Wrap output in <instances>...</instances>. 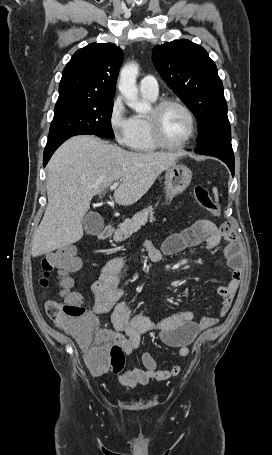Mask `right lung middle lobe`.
Listing matches in <instances>:
<instances>
[{
  "mask_svg": "<svg viewBox=\"0 0 272 455\" xmlns=\"http://www.w3.org/2000/svg\"><path fill=\"white\" fill-rule=\"evenodd\" d=\"M112 109V99L57 102L49 130V141L83 134L113 139Z\"/></svg>",
  "mask_w": 272,
  "mask_h": 455,
  "instance_id": "1",
  "label": "right lung middle lobe"
}]
</instances>
